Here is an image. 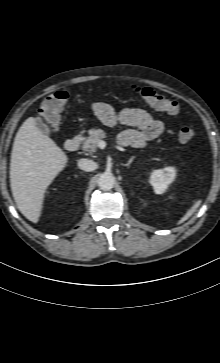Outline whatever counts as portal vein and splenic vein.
Returning <instances> with one entry per match:
<instances>
[{
    "instance_id": "18ae733b",
    "label": "portal vein and splenic vein",
    "mask_w": 220,
    "mask_h": 363,
    "mask_svg": "<svg viewBox=\"0 0 220 363\" xmlns=\"http://www.w3.org/2000/svg\"><path fill=\"white\" fill-rule=\"evenodd\" d=\"M98 146L103 149L106 146V143L104 141H99Z\"/></svg>"
}]
</instances>
